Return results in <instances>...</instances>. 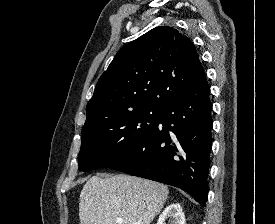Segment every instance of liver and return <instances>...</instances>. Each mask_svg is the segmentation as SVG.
Instances as JSON below:
<instances>
[{
    "label": "liver",
    "instance_id": "6515ba94",
    "mask_svg": "<svg viewBox=\"0 0 275 224\" xmlns=\"http://www.w3.org/2000/svg\"><path fill=\"white\" fill-rule=\"evenodd\" d=\"M169 194L166 185L119 174L91 177L80 194V224H150Z\"/></svg>",
    "mask_w": 275,
    "mask_h": 224
}]
</instances>
